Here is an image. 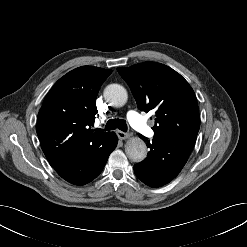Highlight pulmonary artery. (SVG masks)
I'll return each mask as SVG.
<instances>
[{
	"label": "pulmonary artery",
	"instance_id": "obj_1",
	"mask_svg": "<svg viewBox=\"0 0 247 247\" xmlns=\"http://www.w3.org/2000/svg\"><path fill=\"white\" fill-rule=\"evenodd\" d=\"M127 118L130 122V124L143 133L146 136H152L153 130L150 126L146 124V122L142 119V117L135 111H129L127 114Z\"/></svg>",
	"mask_w": 247,
	"mask_h": 247
}]
</instances>
